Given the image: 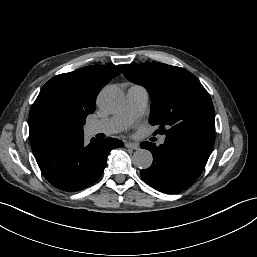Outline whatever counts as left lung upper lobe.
Returning a JSON list of instances; mask_svg holds the SVG:
<instances>
[{
	"instance_id": "left-lung-upper-lobe-1",
	"label": "left lung upper lobe",
	"mask_w": 257,
	"mask_h": 257,
	"mask_svg": "<svg viewBox=\"0 0 257 257\" xmlns=\"http://www.w3.org/2000/svg\"><path fill=\"white\" fill-rule=\"evenodd\" d=\"M123 74L149 92V122L159 126V134L177 137L185 132H214L211 97L188 70L151 62L124 65Z\"/></svg>"
}]
</instances>
